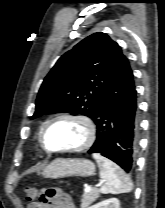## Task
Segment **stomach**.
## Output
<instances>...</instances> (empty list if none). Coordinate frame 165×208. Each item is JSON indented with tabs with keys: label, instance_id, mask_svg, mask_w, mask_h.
Returning <instances> with one entry per match:
<instances>
[{
	"label": "stomach",
	"instance_id": "1",
	"mask_svg": "<svg viewBox=\"0 0 165 208\" xmlns=\"http://www.w3.org/2000/svg\"><path fill=\"white\" fill-rule=\"evenodd\" d=\"M95 165L88 159L56 158L43 170L45 178L89 177L95 174Z\"/></svg>",
	"mask_w": 165,
	"mask_h": 208
}]
</instances>
